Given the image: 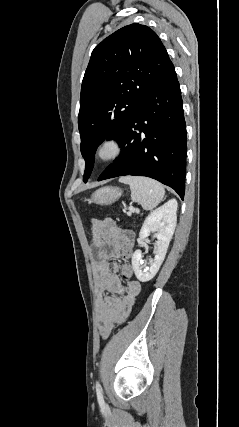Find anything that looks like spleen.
Segmentation results:
<instances>
[{
  "mask_svg": "<svg viewBox=\"0 0 239 427\" xmlns=\"http://www.w3.org/2000/svg\"><path fill=\"white\" fill-rule=\"evenodd\" d=\"M119 182L130 186L132 200L141 204L144 210L154 209L165 194L163 186L151 178L125 176Z\"/></svg>",
  "mask_w": 239,
  "mask_h": 427,
  "instance_id": "obj_1",
  "label": "spleen"
}]
</instances>
